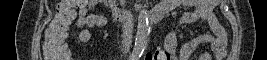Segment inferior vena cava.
Returning a JSON list of instances; mask_svg holds the SVG:
<instances>
[{"mask_svg": "<svg viewBox=\"0 0 267 60\" xmlns=\"http://www.w3.org/2000/svg\"><path fill=\"white\" fill-rule=\"evenodd\" d=\"M129 15L128 12L125 13V18ZM122 27H123V32L127 35V36H131L132 33V22L130 20H124L122 21Z\"/></svg>", "mask_w": 267, "mask_h": 60, "instance_id": "obj_1", "label": "inferior vena cava"}]
</instances>
